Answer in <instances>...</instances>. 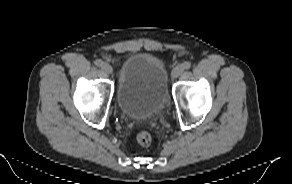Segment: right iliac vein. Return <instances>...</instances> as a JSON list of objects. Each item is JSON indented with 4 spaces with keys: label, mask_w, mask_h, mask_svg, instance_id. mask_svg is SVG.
Masks as SVG:
<instances>
[{
    "label": "right iliac vein",
    "mask_w": 292,
    "mask_h": 184,
    "mask_svg": "<svg viewBox=\"0 0 292 184\" xmlns=\"http://www.w3.org/2000/svg\"><path fill=\"white\" fill-rule=\"evenodd\" d=\"M102 70L107 73V74H111L113 72V68L111 65H109L108 63H104L102 65Z\"/></svg>",
    "instance_id": "1"
}]
</instances>
